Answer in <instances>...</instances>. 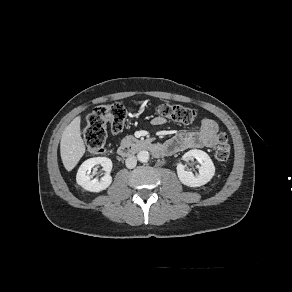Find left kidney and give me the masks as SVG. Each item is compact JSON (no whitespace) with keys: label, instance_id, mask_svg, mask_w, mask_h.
Instances as JSON below:
<instances>
[{"label":"left kidney","instance_id":"5707ae66","mask_svg":"<svg viewBox=\"0 0 292 292\" xmlns=\"http://www.w3.org/2000/svg\"><path fill=\"white\" fill-rule=\"evenodd\" d=\"M193 158L201 164L198 167V175L194 176L192 172L186 171L182 163L177 164V174L182 184L189 187H200L212 179L215 174V166L209 155L202 150H190L183 155L185 161Z\"/></svg>","mask_w":292,"mask_h":292}]
</instances>
